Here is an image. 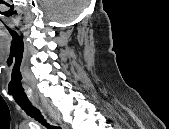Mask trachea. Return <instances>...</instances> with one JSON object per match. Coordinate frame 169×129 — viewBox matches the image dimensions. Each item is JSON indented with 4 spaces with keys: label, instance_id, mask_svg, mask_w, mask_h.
<instances>
[{
    "label": "trachea",
    "instance_id": "3493384b",
    "mask_svg": "<svg viewBox=\"0 0 169 129\" xmlns=\"http://www.w3.org/2000/svg\"><path fill=\"white\" fill-rule=\"evenodd\" d=\"M20 107L26 112V114L35 120L39 121L42 125L49 129H60L56 126L50 125L47 123L46 119L42 115L39 109L34 107L33 105H20Z\"/></svg>",
    "mask_w": 169,
    "mask_h": 129
}]
</instances>
